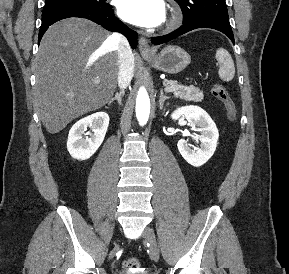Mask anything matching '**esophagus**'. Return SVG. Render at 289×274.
<instances>
[{
    "mask_svg": "<svg viewBox=\"0 0 289 274\" xmlns=\"http://www.w3.org/2000/svg\"><path fill=\"white\" fill-rule=\"evenodd\" d=\"M139 51L143 56H150L152 55L153 51L149 45L148 40L145 37L139 38Z\"/></svg>",
    "mask_w": 289,
    "mask_h": 274,
    "instance_id": "obj_1",
    "label": "esophagus"
}]
</instances>
